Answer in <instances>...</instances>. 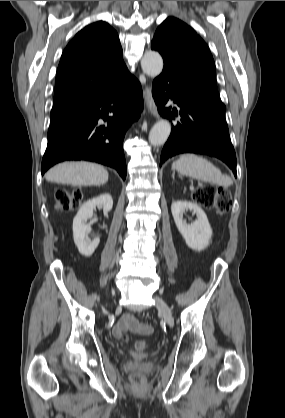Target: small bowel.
I'll use <instances>...</instances> for the list:
<instances>
[{
	"instance_id": "obj_1",
	"label": "small bowel",
	"mask_w": 285,
	"mask_h": 418,
	"mask_svg": "<svg viewBox=\"0 0 285 418\" xmlns=\"http://www.w3.org/2000/svg\"><path fill=\"white\" fill-rule=\"evenodd\" d=\"M152 331L150 324L140 323L132 314H125L113 328V333L116 337H120L126 332L149 335Z\"/></svg>"
}]
</instances>
